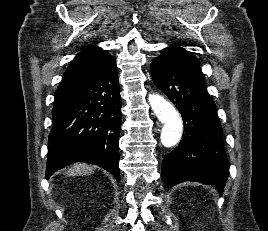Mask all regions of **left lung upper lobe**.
I'll use <instances>...</instances> for the list:
<instances>
[{
	"mask_svg": "<svg viewBox=\"0 0 268 231\" xmlns=\"http://www.w3.org/2000/svg\"><path fill=\"white\" fill-rule=\"evenodd\" d=\"M159 58L166 59L173 64L181 67L192 74L204 77L200 69V63L196 57H194L191 52L178 47L170 46L161 51Z\"/></svg>",
	"mask_w": 268,
	"mask_h": 231,
	"instance_id": "obj_1",
	"label": "left lung upper lobe"
}]
</instances>
